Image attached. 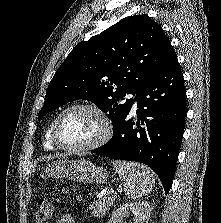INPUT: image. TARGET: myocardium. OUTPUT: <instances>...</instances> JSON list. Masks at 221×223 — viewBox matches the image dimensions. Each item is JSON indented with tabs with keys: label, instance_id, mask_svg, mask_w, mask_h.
Returning a JSON list of instances; mask_svg holds the SVG:
<instances>
[{
	"label": "myocardium",
	"instance_id": "f54148a6",
	"mask_svg": "<svg viewBox=\"0 0 221 223\" xmlns=\"http://www.w3.org/2000/svg\"><path fill=\"white\" fill-rule=\"evenodd\" d=\"M72 110L91 111L101 119V122L103 125V131L96 140H94L93 142H91L87 145L79 146V147L65 145L59 140L58 127H59L60 121L66 113H68ZM112 134H113V123H112L111 118L108 116V114L105 111H103L101 108H99L93 104L77 103V104H73V105L66 107L57 115V117L55 118L54 123H53L51 138H52L53 143L59 149H62L65 151H71V152H88V151H92V150H95V149L103 146L105 143H107L109 141Z\"/></svg>",
	"mask_w": 221,
	"mask_h": 223
}]
</instances>
